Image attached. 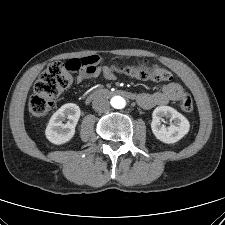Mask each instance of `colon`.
Masks as SVG:
<instances>
[{"label": "colon", "instance_id": "obj_1", "mask_svg": "<svg viewBox=\"0 0 225 225\" xmlns=\"http://www.w3.org/2000/svg\"><path fill=\"white\" fill-rule=\"evenodd\" d=\"M99 63V57L92 55L68 62L54 61L41 73L34 85V91L29 100V110L32 115L41 117L48 113L54 99L73 81V73L77 71H91ZM112 71L141 79L168 82L172 79L171 73L160 66L149 63L136 65L111 66ZM180 107L184 112L193 110V100L187 93L180 97Z\"/></svg>", "mask_w": 225, "mask_h": 225}]
</instances>
